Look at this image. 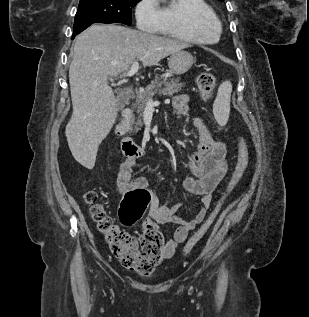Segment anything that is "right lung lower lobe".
<instances>
[{"instance_id": "1", "label": "right lung lower lobe", "mask_w": 309, "mask_h": 317, "mask_svg": "<svg viewBox=\"0 0 309 317\" xmlns=\"http://www.w3.org/2000/svg\"><path fill=\"white\" fill-rule=\"evenodd\" d=\"M92 23H89V24H85V25H82L78 28H75L74 29V32H73V35H72V39L77 35L79 34L80 32H82L83 30H85L87 27H89Z\"/></svg>"}]
</instances>
